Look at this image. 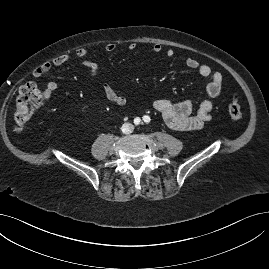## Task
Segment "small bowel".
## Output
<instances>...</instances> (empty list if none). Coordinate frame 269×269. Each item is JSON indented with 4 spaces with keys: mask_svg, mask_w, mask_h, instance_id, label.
<instances>
[{
    "mask_svg": "<svg viewBox=\"0 0 269 269\" xmlns=\"http://www.w3.org/2000/svg\"><path fill=\"white\" fill-rule=\"evenodd\" d=\"M116 44L108 43L104 50L106 53H112L116 50ZM136 44L128 45L129 51H134ZM155 53L163 51V46L159 43H154L151 47ZM167 57L174 56V50L168 48L164 51ZM75 56L80 60L81 65L91 75H95L99 71V63L89 57V53L84 48H79L75 52ZM71 57L68 54H63L55 57L51 62H45L37 67L32 75L35 79L41 78L48 73L54 66H62L70 61ZM189 69L197 71V73L207 79L205 86L206 94L210 98L219 96L223 89V76L217 71H213L210 66L201 64L197 59L188 57L185 61ZM57 90V84L54 81L48 82L43 89L44 102L48 101L54 92ZM103 93L105 97L119 107H124L127 104L125 96L117 92L111 85H103ZM154 108L158 111L168 127L179 132L199 130L211 119L213 102L206 99L200 103L197 109L191 100H184L178 103H171L165 99H159L154 102Z\"/></svg>",
    "mask_w": 269,
    "mask_h": 269,
    "instance_id": "c3829d8e",
    "label": "small bowel"
}]
</instances>
